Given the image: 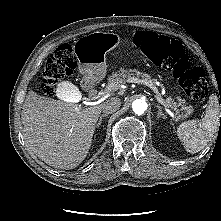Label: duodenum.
<instances>
[{"mask_svg":"<svg viewBox=\"0 0 221 221\" xmlns=\"http://www.w3.org/2000/svg\"><path fill=\"white\" fill-rule=\"evenodd\" d=\"M87 91L91 97H96L98 95V89H96L94 87H88Z\"/></svg>","mask_w":221,"mask_h":221,"instance_id":"duodenum-1","label":"duodenum"}]
</instances>
